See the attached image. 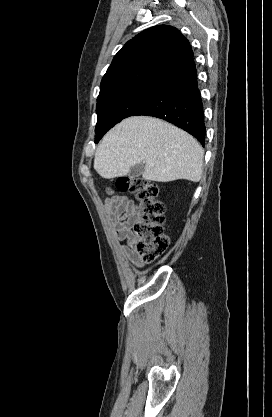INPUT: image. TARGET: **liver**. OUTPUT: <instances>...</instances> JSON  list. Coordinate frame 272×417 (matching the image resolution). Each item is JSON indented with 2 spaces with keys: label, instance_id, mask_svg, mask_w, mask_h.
<instances>
[{
  "label": "liver",
  "instance_id": "1",
  "mask_svg": "<svg viewBox=\"0 0 272 417\" xmlns=\"http://www.w3.org/2000/svg\"><path fill=\"white\" fill-rule=\"evenodd\" d=\"M203 159V148L185 131L157 118L138 116L123 120L104 136L94 168L102 178L112 179L143 162L145 180L198 182Z\"/></svg>",
  "mask_w": 272,
  "mask_h": 417
}]
</instances>
